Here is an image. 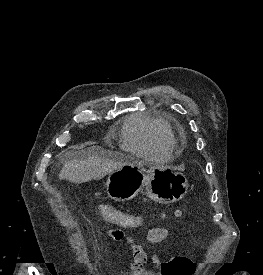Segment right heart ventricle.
Listing matches in <instances>:
<instances>
[{"mask_svg":"<svg viewBox=\"0 0 263 275\" xmlns=\"http://www.w3.org/2000/svg\"><path fill=\"white\" fill-rule=\"evenodd\" d=\"M171 140L169 126L152 115L131 116L122 128V147L138 155L167 156L172 151Z\"/></svg>","mask_w":263,"mask_h":275,"instance_id":"e07e8e85","label":"right heart ventricle"}]
</instances>
